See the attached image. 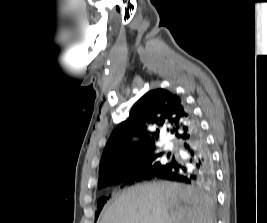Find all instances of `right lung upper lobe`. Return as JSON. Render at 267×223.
Wrapping results in <instances>:
<instances>
[{
    "label": "right lung upper lobe",
    "instance_id": "right-lung-upper-lobe-1",
    "mask_svg": "<svg viewBox=\"0 0 267 223\" xmlns=\"http://www.w3.org/2000/svg\"><path fill=\"white\" fill-rule=\"evenodd\" d=\"M196 128L191 112L177 94L165 89L147 92L135 103L129 118L111 134L102 154L99 179L116 168L132 174L131 166L137 159L156 152L155 141L160 133L166 131L183 144L196 134ZM133 136L140 141L127 146Z\"/></svg>",
    "mask_w": 267,
    "mask_h": 223
}]
</instances>
